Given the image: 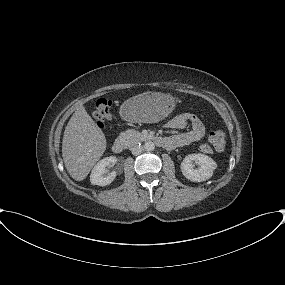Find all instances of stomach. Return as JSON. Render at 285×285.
<instances>
[{
	"mask_svg": "<svg viewBox=\"0 0 285 285\" xmlns=\"http://www.w3.org/2000/svg\"><path fill=\"white\" fill-rule=\"evenodd\" d=\"M174 107L172 95L148 91L126 100L120 107V114L131 122L155 123L167 117Z\"/></svg>",
	"mask_w": 285,
	"mask_h": 285,
	"instance_id": "0dacf381",
	"label": "stomach"
}]
</instances>
